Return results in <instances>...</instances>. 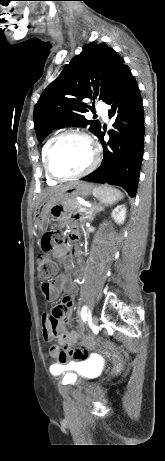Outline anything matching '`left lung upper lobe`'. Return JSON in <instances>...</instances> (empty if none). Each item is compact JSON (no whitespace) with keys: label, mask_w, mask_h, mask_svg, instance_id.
Returning a JSON list of instances; mask_svg holds the SVG:
<instances>
[{"label":"left lung upper lobe","mask_w":165,"mask_h":461,"mask_svg":"<svg viewBox=\"0 0 165 461\" xmlns=\"http://www.w3.org/2000/svg\"><path fill=\"white\" fill-rule=\"evenodd\" d=\"M129 67L124 59L106 44L83 46L60 75L41 94L34 107V126L39 141L54 128L90 125L96 136L101 132L99 121L87 120L84 99L99 98L106 102Z\"/></svg>","instance_id":"left-lung-upper-lobe-1"}]
</instances>
